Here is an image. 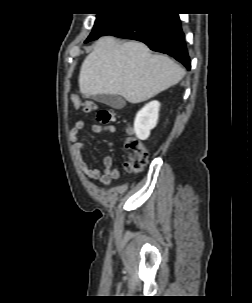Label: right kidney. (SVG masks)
<instances>
[{"instance_id": "1", "label": "right kidney", "mask_w": 252, "mask_h": 303, "mask_svg": "<svg viewBox=\"0 0 252 303\" xmlns=\"http://www.w3.org/2000/svg\"><path fill=\"white\" fill-rule=\"evenodd\" d=\"M160 103L151 101L146 104L136 115L134 131L140 140H146L150 131L157 125Z\"/></svg>"}]
</instances>
